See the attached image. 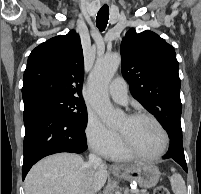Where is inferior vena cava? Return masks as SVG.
<instances>
[{
	"label": "inferior vena cava",
	"instance_id": "602c4592",
	"mask_svg": "<svg viewBox=\"0 0 201 194\" xmlns=\"http://www.w3.org/2000/svg\"><path fill=\"white\" fill-rule=\"evenodd\" d=\"M103 165L102 159L94 153L89 154V160L85 163L87 168H93ZM79 194H94V191L91 189L90 183H85L79 190Z\"/></svg>",
	"mask_w": 201,
	"mask_h": 194
}]
</instances>
